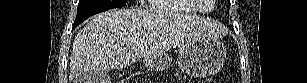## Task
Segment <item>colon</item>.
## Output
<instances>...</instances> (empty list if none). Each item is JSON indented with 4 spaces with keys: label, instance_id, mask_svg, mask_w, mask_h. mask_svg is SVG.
<instances>
[{
    "label": "colon",
    "instance_id": "obj_1",
    "mask_svg": "<svg viewBox=\"0 0 307 83\" xmlns=\"http://www.w3.org/2000/svg\"><path fill=\"white\" fill-rule=\"evenodd\" d=\"M205 83H215V80L214 79H207V80H205Z\"/></svg>",
    "mask_w": 307,
    "mask_h": 83
}]
</instances>
